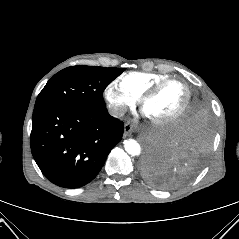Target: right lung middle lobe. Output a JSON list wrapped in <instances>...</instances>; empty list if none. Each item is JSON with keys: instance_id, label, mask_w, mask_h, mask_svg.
Returning <instances> with one entry per match:
<instances>
[{"instance_id": "dd1d6c3e", "label": "right lung middle lobe", "mask_w": 239, "mask_h": 239, "mask_svg": "<svg viewBox=\"0 0 239 239\" xmlns=\"http://www.w3.org/2000/svg\"><path fill=\"white\" fill-rule=\"evenodd\" d=\"M123 71L119 68L72 66L56 73L39 93L35 107L55 105L103 108V91Z\"/></svg>"}]
</instances>
